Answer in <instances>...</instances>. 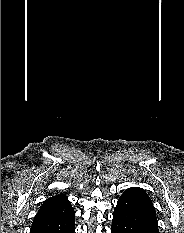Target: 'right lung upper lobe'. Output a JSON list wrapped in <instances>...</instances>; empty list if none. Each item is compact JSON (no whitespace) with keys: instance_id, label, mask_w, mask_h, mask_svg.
Returning <instances> with one entry per match:
<instances>
[{"instance_id":"right-lung-upper-lobe-1","label":"right lung upper lobe","mask_w":184,"mask_h":233,"mask_svg":"<svg viewBox=\"0 0 184 233\" xmlns=\"http://www.w3.org/2000/svg\"><path fill=\"white\" fill-rule=\"evenodd\" d=\"M70 202L66 199V195L58 194L48 198L41 206L38 212L51 209L56 206L68 205Z\"/></svg>"}]
</instances>
